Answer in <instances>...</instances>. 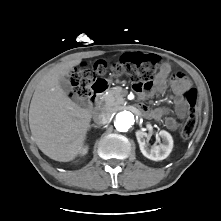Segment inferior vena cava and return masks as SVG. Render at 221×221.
Wrapping results in <instances>:
<instances>
[{
    "mask_svg": "<svg viewBox=\"0 0 221 221\" xmlns=\"http://www.w3.org/2000/svg\"><path fill=\"white\" fill-rule=\"evenodd\" d=\"M111 119V112L108 109L96 111L93 115V120L97 125H104Z\"/></svg>",
    "mask_w": 221,
    "mask_h": 221,
    "instance_id": "inferior-vena-cava-1",
    "label": "inferior vena cava"
}]
</instances>
